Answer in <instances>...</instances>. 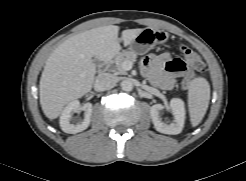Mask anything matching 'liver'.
Here are the masks:
<instances>
[{"label":"liver","instance_id":"6515ba94","mask_svg":"<svg viewBox=\"0 0 246 181\" xmlns=\"http://www.w3.org/2000/svg\"><path fill=\"white\" fill-rule=\"evenodd\" d=\"M143 30H123L124 46ZM118 31L115 25L93 28L68 38L51 53L39 83L40 104L46 117L56 119L65 105L92 89L96 72L93 58L108 61L119 54Z\"/></svg>","mask_w":246,"mask_h":181}]
</instances>
